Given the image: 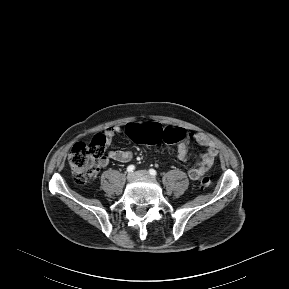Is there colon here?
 <instances>
[{"label":"colon","instance_id":"colon-1","mask_svg":"<svg viewBox=\"0 0 289 289\" xmlns=\"http://www.w3.org/2000/svg\"><path fill=\"white\" fill-rule=\"evenodd\" d=\"M125 136L137 143L157 144L161 141L172 144L183 141L186 130L178 127L166 130L156 122L148 124L129 123L125 127ZM105 138L103 135L96 136L90 143L78 142L72 148L68 161L73 171L76 183L83 185L88 183L95 175L104 160ZM211 180L204 176L200 180L202 188L210 186Z\"/></svg>","mask_w":289,"mask_h":289}]
</instances>
